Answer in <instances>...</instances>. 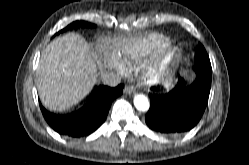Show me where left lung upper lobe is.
I'll return each mask as SVG.
<instances>
[{
  "instance_id": "obj_1",
  "label": "left lung upper lobe",
  "mask_w": 249,
  "mask_h": 165,
  "mask_svg": "<svg viewBox=\"0 0 249 165\" xmlns=\"http://www.w3.org/2000/svg\"><path fill=\"white\" fill-rule=\"evenodd\" d=\"M195 62L198 66L211 67L209 56L202 44H199L195 52Z\"/></svg>"
}]
</instances>
